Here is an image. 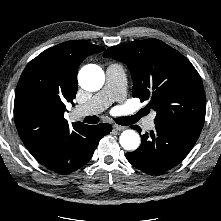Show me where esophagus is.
Instances as JSON below:
<instances>
[{"label": "esophagus", "mask_w": 221, "mask_h": 221, "mask_svg": "<svg viewBox=\"0 0 221 221\" xmlns=\"http://www.w3.org/2000/svg\"><path fill=\"white\" fill-rule=\"evenodd\" d=\"M113 129H114V130H117V131H123V130L126 129V127H125V126H120V125L114 124V125H113Z\"/></svg>", "instance_id": "esophagus-1"}]
</instances>
